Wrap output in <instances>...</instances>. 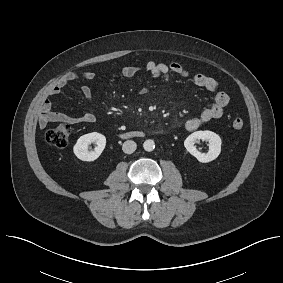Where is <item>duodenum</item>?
Segmentation results:
<instances>
[{"label": "duodenum", "instance_id": "1", "mask_svg": "<svg viewBox=\"0 0 283 283\" xmlns=\"http://www.w3.org/2000/svg\"><path fill=\"white\" fill-rule=\"evenodd\" d=\"M123 136L125 137H143L144 136V132L143 131H132V132H129V133H126V134H123Z\"/></svg>", "mask_w": 283, "mask_h": 283}]
</instances>
